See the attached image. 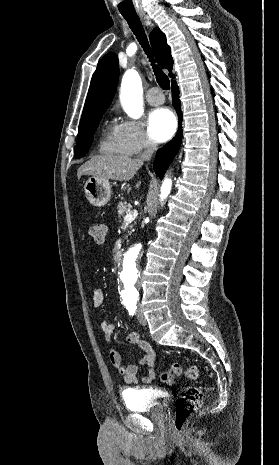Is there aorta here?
<instances>
[{
  "mask_svg": "<svg viewBox=\"0 0 279 465\" xmlns=\"http://www.w3.org/2000/svg\"><path fill=\"white\" fill-rule=\"evenodd\" d=\"M143 88L138 72L129 69L125 72L121 82L120 100L125 112L134 119L143 114ZM172 180L165 178L161 186L160 199L164 201L170 194ZM141 244L131 247L124 255L120 268V290L124 303L134 302L137 298V285L139 279V256Z\"/></svg>",
  "mask_w": 279,
  "mask_h": 465,
  "instance_id": "1",
  "label": "aorta"
}]
</instances>
